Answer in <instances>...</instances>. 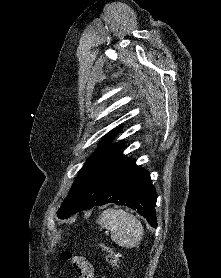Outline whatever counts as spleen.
Returning a JSON list of instances; mask_svg holds the SVG:
<instances>
[{
	"mask_svg": "<svg viewBox=\"0 0 221 278\" xmlns=\"http://www.w3.org/2000/svg\"><path fill=\"white\" fill-rule=\"evenodd\" d=\"M97 222L112 232V240L121 247H136L143 235L141 222L122 209H106Z\"/></svg>",
	"mask_w": 221,
	"mask_h": 278,
	"instance_id": "3e777b00",
	"label": "spleen"
}]
</instances>
